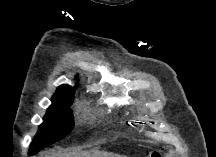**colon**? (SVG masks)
Returning <instances> with one entry per match:
<instances>
[{"instance_id": "1", "label": "colon", "mask_w": 216, "mask_h": 157, "mask_svg": "<svg viewBox=\"0 0 216 157\" xmlns=\"http://www.w3.org/2000/svg\"><path fill=\"white\" fill-rule=\"evenodd\" d=\"M153 157H159V154H158V153H155V154L153 155Z\"/></svg>"}]
</instances>
